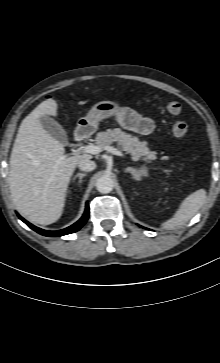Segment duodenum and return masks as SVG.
I'll list each match as a JSON object with an SVG mask.
<instances>
[{
  "instance_id": "obj_1",
  "label": "duodenum",
  "mask_w": 220,
  "mask_h": 363,
  "mask_svg": "<svg viewBox=\"0 0 220 363\" xmlns=\"http://www.w3.org/2000/svg\"><path fill=\"white\" fill-rule=\"evenodd\" d=\"M91 133V128L89 126H81L76 129L74 134V140L77 142L85 140L87 137H89Z\"/></svg>"
}]
</instances>
